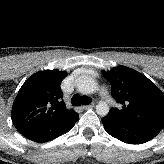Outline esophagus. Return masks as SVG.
Here are the masks:
<instances>
[{
	"label": "esophagus",
	"mask_w": 164,
	"mask_h": 164,
	"mask_svg": "<svg viewBox=\"0 0 164 164\" xmlns=\"http://www.w3.org/2000/svg\"><path fill=\"white\" fill-rule=\"evenodd\" d=\"M94 105H95V103L94 102H92L91 104H89V105H85V106H83V109H90V108H93L94 107Z\"/></svg>",
	"instance_id": "obj_1"
}]
</instances>
